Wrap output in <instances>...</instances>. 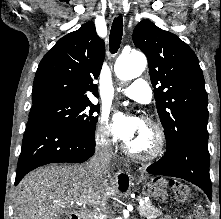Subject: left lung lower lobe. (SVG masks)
<instances>
[{
  "label": "left lung lower lobe",
  "instance_id": "left-lung-lower-lobe-1",
  "mask_svg": "<svg viewBox=\"0 0 221 219\" xmlns=\"http://www.w3.org/2000/svg\"><path fill=\"white\" fill-rule=\"evenodd\" d=\"M149 174L177 177L200 187L211 200L208 138L187 136L147 168Z\"/></svg>",
  "mask_w": 221,
  "mask_h": 219
}]
</instances>
